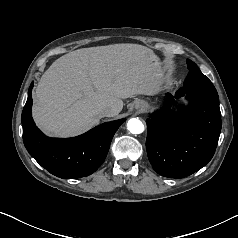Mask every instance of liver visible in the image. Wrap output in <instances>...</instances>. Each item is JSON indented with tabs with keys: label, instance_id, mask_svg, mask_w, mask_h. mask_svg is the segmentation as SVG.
I'll return each mask as SVG.
<instances>
[{
	"label": "liver",
	"instance_id": "liver-1",
	"mask_svg": "<svg viewBox=\"0 0 238 238\" xmlns=\"http://www.w3.org/2000/svg\"><path fill=\"white\" fill-rule=\"evenodd\" d=\"M138 44H113L72 51L42 75L33 97V118L52 136H76L97 125L99 109L118 115L122 99L160 91L163 71Z\"/></svg>",
	"mask_w": 238,
	"mask_h": 238
}]
</instances>
